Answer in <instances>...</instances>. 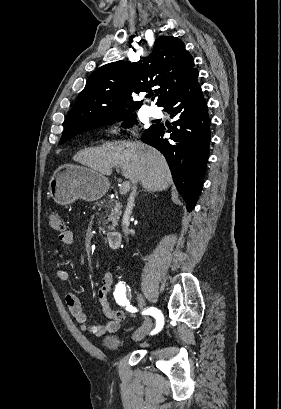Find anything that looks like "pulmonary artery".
<instances>
[{
  "instance_id": "pulmonary-artery-1",
  "label": "pulmonary artery",
  "mask_w": 281,
  "mask_h": 409,
  "mask_svg": "<svg viewBox=\"0 0 281 409\" xmlns=\"http://www.w3.org/2000/svg\"><path fill=\"white\" fill-rule=\"evenodd\" d=\"M147 112H148L149 116H151L152 118L159 119V118L162 117L161 110L159 108L154 107V106L148 107Z\"/></svg>"
}]
</instances>
